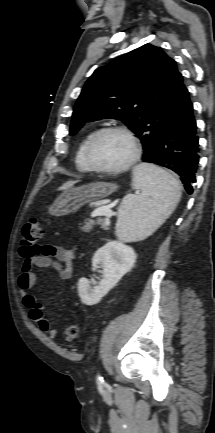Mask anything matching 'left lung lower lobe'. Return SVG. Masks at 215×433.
Listing matches in <instances>:
<instances>
[{
  "label": "left lung lower lobe",
  "mask_w": 215,
  "mask_h": 433,
  "mask_svg": "<svg viewBox=\"0 0 215 433\" xmlns=\"http://www.w3.org/2000/svg\"><path fill=\"white\" fill-rule=\"evenodd\" d=\"M199 158V142L193 105L189 92L183 85L170 106L165 126L158 136L153 157L143 161L175 172L184 184L185 190L192 194Z\"/></svg>",
  "instance_id": "obj_1"
}]
</instances>
